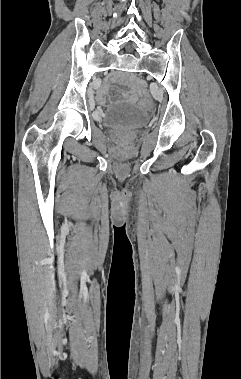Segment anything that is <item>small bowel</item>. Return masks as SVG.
Here are the masks:
<instances>
[{
	"instance_id": "obj_1",
	"label": "small bowel",
	"mask_w": 241,
	"mask_h": 379,
	"mask_svg": "<svg viewBox=\"0 0 241 379\" xmlns=\"http://www.w3.org/2000/svg\"><path fill=\"white\" fill-rule=\"evenodd\" d=\"M115 82L112 80H108L104 83L103 87L98 90L97 92V100L99 104L104 105L107 102L106 95L108 90L114 86ZM124 100L130 103H135L137 102V97L135 95H129V94H124L123 96Z\"/></svg>"
}]
</instances>
